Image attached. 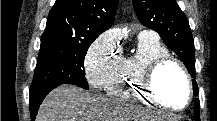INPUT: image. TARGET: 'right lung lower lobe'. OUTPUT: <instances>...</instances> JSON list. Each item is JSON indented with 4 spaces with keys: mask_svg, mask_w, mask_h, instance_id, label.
Masks as SVG:
<instances>
[{
    "mask_svg": "<svg viewBox=\"0 0 217 121\" xmlns=\"http://www.w3.org/2000/svg\"><path fill=\"white\" fill-rule=\"evenodd\" d=\"M63 83H56V84H52L49 85L47 87H45L44 89H42L41 91L35 92L30 94V113H31V119L34 120L36 115H37V111L39 109L40 104L42 103L43 99L45 98V96L54 88L62 85Z\"/></svg>",
    "mask_w": 217,
    "mask_h": 121,
    "instance_id": "right-lung-lower-lobe-1",
    "label": "right lung lower lobe"
}]
</instances>
